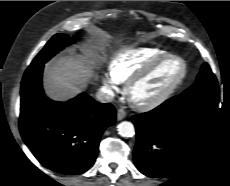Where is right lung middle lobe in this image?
<instances>
[{"label":"right lung middle lobe","mask_w":230,"mask_h":186,"mask_svg":"<svg viewBox=\"0 0 230 186\" xmlns=\"http://www.w3.org/2000/svg\"><path fill=\"white\" fill-rule=\"evenodd\" d=\"M72 41L69 39L68 35L65 34H55L45 45V47L39 52V54L34 58L29 68L44 65L49 59H51L55 54L62 50L66 45L71 44Z\"/></svg>","instance_id":"1"}]
</instances>
